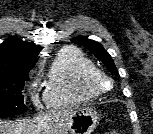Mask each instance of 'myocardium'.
I'll return each instance as SVG.
<instances>
[{
	"label": "myocardium",
	"mask_w": 153,
	"mask_h": 134,
	"mask_svg": "<svg viewBox=\"0 0 153 134\" xmlns=\"http://www.w3.org/2000/svg\"><path fill=\"white\" fill-rule=\"evenodd\" d=\"M103 82L106 85H103ZM87 85L91 91L97 95H101L112 90L113 80L107 73L95 68L94 70L90 71L87 76Z\"/></svg>",
	"instance_id": "1"
}]
</instances>
